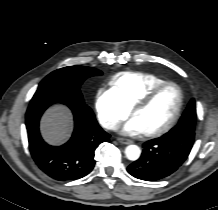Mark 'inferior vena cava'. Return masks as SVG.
Segmentation results:
<instances>
[{"instance_id": "602c4592", "label": "inferior vena cava", "mask_w": 218, "mask_h": 210, "mask_svg": "<svg viewBox=\"0 0 218 210\" xmlns=\"http://www.w3.org/2000/svg\"><path fill=\"white\" fill-rule=\"evenodd\" d=\"M107 129H111V130H118L119 128V124L117 123H108L105 126Z\"/></svg>"}]
</instances>
